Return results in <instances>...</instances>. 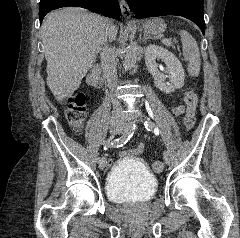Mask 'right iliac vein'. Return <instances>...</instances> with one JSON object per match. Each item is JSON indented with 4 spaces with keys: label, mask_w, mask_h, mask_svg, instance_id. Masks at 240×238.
Returning a JSON list of instances; mask_svg holds the SVG:
<instances>
[{
    "label": "right iliac vein",
    "mask_w": 240,
    "mask_h": 238,
    "mask_svg": "<svg viewBox=\"0 0 240 238\" xmlns=\"http://www.w3.org/2000/svg\"><path fill=\"white\" fill-rule=\"evenodd\" d=\"M124 131V127L116 120H112L109 126V132L111 135H115ZM106 167V159L102 158L99 162V168L103 170Z\"/></svg>",
    "instance_id": "63e3f726"
}]
</instances>
